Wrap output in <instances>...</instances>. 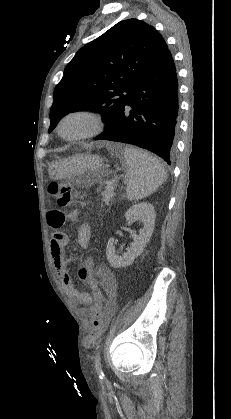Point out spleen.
<instances>
[{"label": "spleen", "mask_w": 231, "mask_h": 419, "mask_svg": "<svg viewBox=\"0 0 231 419\" xmlns=\"http://www.w3.org/2000/svg\"><path fill=\"white\" fill-rule=\"evenodd\" d=\"M126 164L125 182L128 200H140L155 192L167 178L161 162L148 152L126 146L123 149Z\"/></svg>", "instance_id": "1"}]
</instances>
